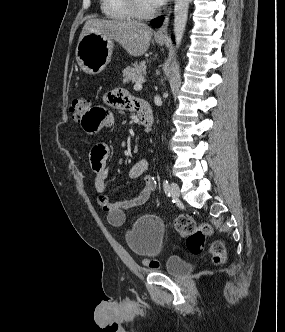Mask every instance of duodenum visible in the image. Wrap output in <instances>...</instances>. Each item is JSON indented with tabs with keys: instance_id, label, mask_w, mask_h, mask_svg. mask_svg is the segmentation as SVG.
<instances>
[{
	"instance_id": "duodenum-1",
	"label": "duodenum",
	"mask_w": 285,
	"mask_h": 332,
	"mask_svg": "<svg viewBox=\"0 0 285 332\" xmlns=\"http://www.w3.org/2000/svg\"><path fill=\"white\" fill-rule=\"evenodd\" d=\"M140 123L146 132H150L153 127L154 118L149 104L145 101H137Z\"/></svg>"
}]
</instances>
